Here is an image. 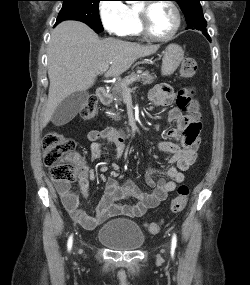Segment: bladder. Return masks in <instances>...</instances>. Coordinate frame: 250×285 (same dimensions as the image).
Masks as SVG:
<instances>
[{
	"label": "bladder",
	"mask_w": 250,
	"mask_h": 285,
	"mask_svg": "<svg viewBox=\"0 0 250 285\" xmlns=\"http://www.w3.org/2000/svg\"><path fill=\"white\" fill-rule=\"evenodd\" d=\"M97 239L113 250L132 251L143 245L145 236L135 221L116 218L107 221L99 228Z\"/></svg>",
	"instance_id": "bladder-1"
}]
</instances>
